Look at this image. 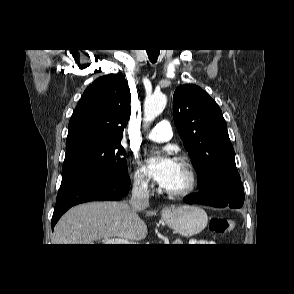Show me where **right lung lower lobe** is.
<instances>
[{
  "label": "right lung lower lobe",
  "mask_w": 294,
  "mask_h": 294,
  "mask_svg": "<svg viewBox=\"0 0 294 294\" xmlns=\"http://www.w3.org/2000/svg\"><path fill=\"white\" fill-rule=\"evenodd\" d=\"M129 176L85 172L62 180L52 217V230L72 206L89 201H114L128 194Z\"/></svg>",
  "instance_id": "1"
}]
</instances>
